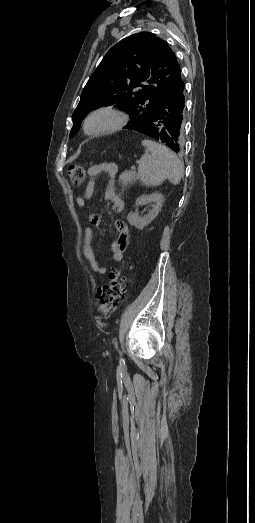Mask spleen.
I'll use <instances>...</instances> for the list:
<instances>
[{
    "mask_svg": "<svg viewBox=\"0 0 255 523\" xmlns=\"http://www.w3.org/2000/svg\"><path fill=\"white\" fill-rule=\"evenodd\" d=\"M142 146L151 154H144L138 162V178L141 184L160 186L164 180H169L174 186L179 184L184 168L178 156L166 146L152 140H143Z\"/></svg>",
    "mask_w": 255,
    "mask_h": 523,
    "instance_id": "obj_1",
    "label": "spleen"
}]
</instances>
